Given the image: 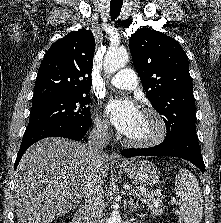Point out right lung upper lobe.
Instances as JSON below:
<instances>
[{
	"instance_id": "right-lung-upper-lobe-1",
	"label": "right lung upper lobe",
	"mask_w": 221,
	"mask_h": 223,
	"mask_svg": "<svg viewBox=\"0 0 221 223\" xmlns=\"http://www.w3.org/2000/svg\"><path fill=\"white\" fill-rule=\"evenodd\" d=\"M95 39L90 30L72 31L45 54L34 87L33 101L91 89Z\"/></svg>"
}]
</instances>
